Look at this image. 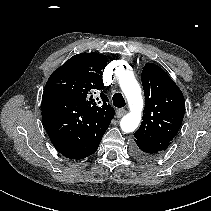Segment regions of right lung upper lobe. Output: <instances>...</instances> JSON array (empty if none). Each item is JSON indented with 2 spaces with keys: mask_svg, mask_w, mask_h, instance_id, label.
<instances>
[{
  "mask_svg": "<svg viewBox=\"0 0 211 211\" xmlns=\"http://www.w3.org/2000/svg\"><path fill=\"white\" fill-rule=\"evenodd\" d=\"M106 65L107 57L99 53L74 55L52 73L44 91L75 99L81 106L82 116L91 117L102 124L110 125L115 111L107 103L108 98L105 96L106 99L104 98L103 104L100 106L93 98V94L104 86L102 72Z\"/></svg>",
  "mask_w": 211,
  "mask_h": 211,
  "instance_id": "cb5924a9",
  "label": "right lung upper lobe"
}]
</instances>
